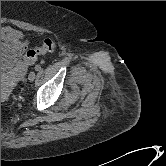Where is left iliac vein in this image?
I'll return each instance as SVG.
<instances>
[{
  "label": "left iliac vein",
  "mask_w": 166,
  "mask_h": 166,
  "mask_svg": "<svg viewBox=\"0 0 166 166\" xmlns=\"http://www.w3.org/2000/svg\"><path fill=\"white\" fill-rule=\"evenodd\" d=\"M36 78V73L35 72H30V74L28 75V80L30 82L34 81Z\"/></svg>",
  "instance_id": "4c4485c4"
}]
</instances>
